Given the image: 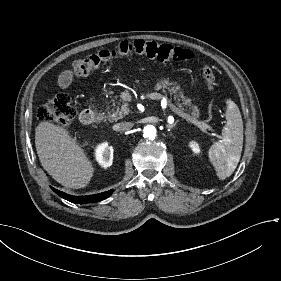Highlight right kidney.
<instances>
[{
	"label": "right kidney",
	"instance_id": "right-kidney-1",
	"mask_svg": "<svg viewBox=\"0 0 281 281\" xmlns=\"http://www.w3.org/2000/svg\"><path fill=\"white\" fill-rule=\"evenodd\" d=\"M95 159L104 169L110 167L113 162V147L107 142L98 144L95 147Z\"/></svg>",
	"mask_w": 281,
	"mask_h": 281
}]
</instances>
